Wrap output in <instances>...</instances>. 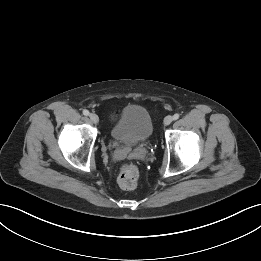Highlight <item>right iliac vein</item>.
<instances>
[{"instance_id": "right-iliac-vein-1", "label": "right iliac vein", "mask_w": 261, "mask_h": 261, "mask_svg": "<svg viewBox=\"0 0 261 261\" xmlns=\"http://www.w3.org/2000/svg\"><path fill=\"white\" fill-rule=\"evenodd\" d=\"M90 117V120L94 123V124H97L99 122V117L97 116V114L95 113H91L89 115Z\"/></svg>"}]
</instances>
